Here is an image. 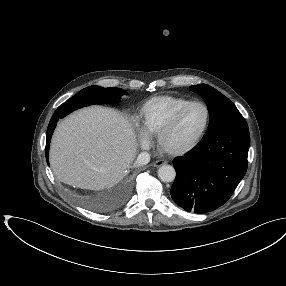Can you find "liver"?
<instances>
[{"label": "liver", "instance_id": "1", "mask_svg": "<svg viewBox=\"0 0 286 286\" xmlns=\"http://www.w3.org/2000/svg\"><path fill=\"white\" fill-rule=\"evenodd\" d=\"M136 153L131 123L114 109L92 106L58 124L49 158L60 181L101 190L122 179Z\"/></svg>", "mask_w": 286, "mask_h": 286}]
</instances>
